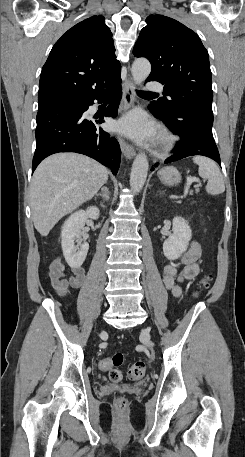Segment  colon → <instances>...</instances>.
Returning a JSON list of instances; mask_svg holds the SVG:
<instances>
[{
    "label": "colon",
    "instance_id": "5ec220e1",
    "mask_svg": "<svg viewBox=\"0 0 245 457\" xmlns=\"http://www.w3.org/2000/svg\"><path fill=\"white\" fill-rule=\"evenodd\" d=\"M209 283V277L206 276L201 281L202 287H207ZM124 357L121 353H116L111 357L104 358L99 363V368L109 372V378L113 382H119L123 378L122 372L118 369L123 363ZM145 374V364L143 362H136L132 364L128 369V377L132 380H140ZM127 401L124 397H117L115 399V407L118 410H124L126 408Z\"/></svg>",
    "mask_w": 245,
    "mask_h": 457
}]
</instances>
